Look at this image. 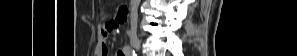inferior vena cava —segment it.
<instances>
[{"instance_id": "602c4592", "label": "inferior vena cava", "mask_w": 297, "mask_h": 56, "mask_svg": "<svg viewBox=\"0 0 297 56\" xmlns=\"http://www.w3.org/2000/svg\"><path fill=\"white\" fill-rule=\"evenodd\" d=\"M140 0H132L131 1V28L136 29L137 27V19H138V13H137V8L139 5Z\"/></svg>"}]
</instances>
